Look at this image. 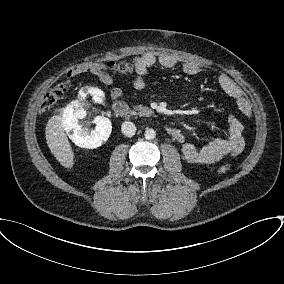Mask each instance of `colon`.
<instances>
[{"instance_id":"obj_1","label":"colon","mask_w":284,"mask_h":284,"mask_svg":"<svg viewBox=\"0 0 284 284\" xmlns=\"http://www.w3.org/2000/svg\"><path fill=\"white\" fill-rule=\"evenodd\" d=\"M104 67L120 75H127L131 73L133 70V64L127 60H122L119 62H113V61L108 62L104 64ZM69 82H70L69 80H64L60 82L59 84L53 86L44 95L40 105L41 112L48 111L54 104H56L63 97L64 93L66 92L69 86ZM229 169L230 167L228 165H222L219 168V172L225 174L229 171Z\"/></svg>"}]
</instances>
